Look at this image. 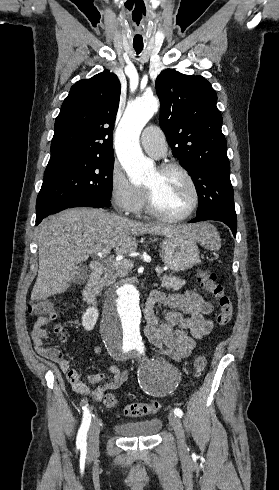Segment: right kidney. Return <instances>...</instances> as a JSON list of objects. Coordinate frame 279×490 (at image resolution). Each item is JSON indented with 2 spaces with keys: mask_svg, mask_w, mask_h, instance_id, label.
<instances>
[{
  "mask_svg": "<svg viewBox=\"0 0 279 490\" xmlns=\"http://www.w3.org/2000/svg\"><path fill=\"white\" fill-rule=\"evenodd\" d=\"M99 318V312L96 308H88L82 316V326L84 330H93L95 324Z\"/></svg>",
  "mask_w": 279,
  "mask_h": 490,
  "instance_id": "1",
  "label": "right kidney"
}]
</instances>
